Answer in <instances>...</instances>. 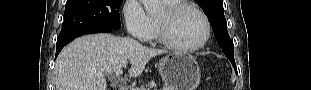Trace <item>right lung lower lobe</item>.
I'll list each match as a JSON object with an SVG mask.
<instances>
[{"mask_svg": "<svg viewBox=\"0 0 311 90\" xmlns=\"http://www.w3.org/2000/svg\"><path fill=\"white\" fill-rule=\"evenodd\" d=\"M113 29H91V30H84V31H80L76 34H73L67 38H64L62 40H57L56 43V57L58 56L59 52L61 51V49L68 44L69 42H71L73 39L81 36V35H85V34H94V33H99V32H110Z\"/></svg>", "mask_w": 311, "mask_h": 90, "instance_id": "98d812e1", "label": "right lung lower lobe"}]
</instances>
